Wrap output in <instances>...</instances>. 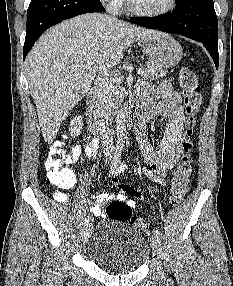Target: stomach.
<instances>
[{
	"mask_svg": "<svg viewBox=\"0 0 233 286\" xmlns=\"http://www.w3.org/2000/svg\"><path fill=\"white\" fill-rule=\"evenodd\" d=\"M142 49L151 64L163 68L177 65L183 56L180 44L168 34L143 44Z\"/></svg>",
	"mask_w": 233,
	"mask_h": 286,
	"instance_id": "0dacf381",
	"label": "stomach"
}]
</instances>
